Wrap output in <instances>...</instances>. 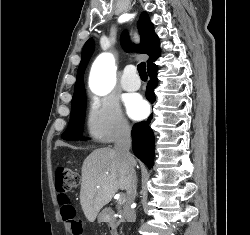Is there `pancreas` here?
Instances as JSON below:
<instances>
[{
  "mask_svg": "<svg viewBox=\"0 0 250 235\" xmlns=\"http://www.w3.org/2000/svg\"><path fill=\"white\" fill-rule=\"evenodd\" d=\"M122 204H123V202H122V201H120V202H119V206H121Z\"/></svg>",
  "mask_w": 250,
  "mask_h": 235,
  "instance_id": "obj_1",
  "label": "pancreas"
}]
</instances>
